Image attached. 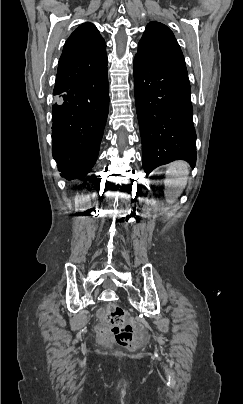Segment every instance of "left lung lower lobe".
I'll list each match as a JSON object with an SVG mask.
<instances>
[{"mask_svg":"<svg viewBox=\"0 0 243 404\" xmlns=\"http://www.w3.org/2000/svg\"><path fill=\"white\" fill-rule=\"evenodd\" d=\"M135 103L147 175L182 159L194 168L196 132L187 73L160 68L135 56Z\"/></svg>","mask_w":243,"mask_h":404,"instance_id":"0a47b994","label":"left lung lower lobe"}]
</instances>
